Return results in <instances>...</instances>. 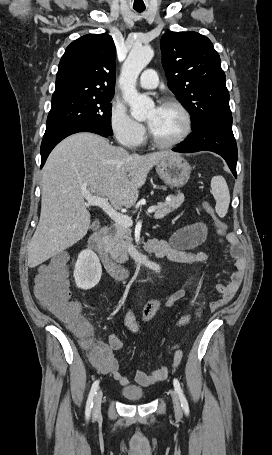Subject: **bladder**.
Wrapping results in <instances>:
<instances>
[{
    "mask_svg": "<svg viewBox=\"0 0 272 455\" xmlns=\"http://www.w3.org/2000/svg\"><path fill=\"white\" fill-rule=\"evenodd\" d=\"M121 394L124 398L130 401H139L144 398V391L141 387L129 385L121 389Z\"/></svg>",
    "mask_w": 272,
    "mask_h": 455,
    "instance_id": "bladder-1",
    "label": "bladder"
}]
</instances>
